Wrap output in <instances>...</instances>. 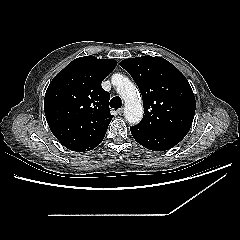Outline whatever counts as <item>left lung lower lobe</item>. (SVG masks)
<instances>
[{
  "mask_svg": "<svg viewBox=\"0 0 240 240\" xmlns=\"http://www.w3.org/2000/svg\"><path fill=\"white\" fill-rule=\"evenodd\" d=\"M134 139L142 146L153 151H165L178 144L187 134L182 131H145L130 127Z\"/></svg>",
  "mask_w": 240,
  "mask_h": 240,
  "instance_id": "0a47b994",
  "label": "left lung lower lobe"
}]
</instances>
